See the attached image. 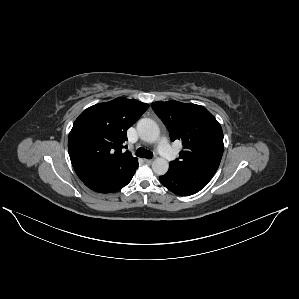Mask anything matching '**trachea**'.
Segmentation results:
<instances>
[{
	"label": "trachea",
	"instance_id": "trachea-1",
	"mask_svg": "<svg viewBox=\"0 0 299 299\" xmlns=\"http://www.w3.org/2000/svg\"><path fill=\"white\" fill-rule=\"evenodd\" d=\"M136 156L141 157V158L144 157V158L150 159L153 157V154L149 150H146L144 148H138L136 151Z\"/></svg>",
	"mask_w": 299,
	"mask_h": 299
}]
</instances>
